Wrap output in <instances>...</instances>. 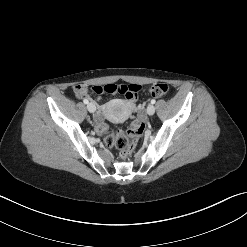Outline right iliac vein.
<instances>
[{"label": "right iliac vein", "instance_id": "1", "mask_svg": "<svg viewBox=\"0 0 247 247\" xmlns=\"http://www.w3.org/2000/svg\"><path fill=\"white\" fill-rule=\"evenodd\" d=\"M87 109L89 112L94 113L96 111V106L94 103L90 102L87 104Z\"/></svg>", "mask_w": 247, "mask_h": 247}]
</instances>
